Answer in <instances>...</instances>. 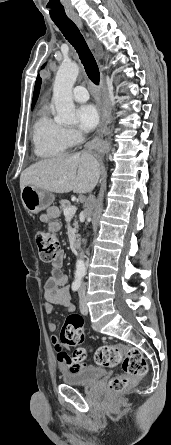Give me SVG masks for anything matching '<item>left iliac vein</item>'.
<instances>
[{
  "label": "left iliac vein",
  "instance_id": "4c4485c4",
  "mask_svg": "<svg viewBox=\"0 0 171 445\" xmlns=\"http://www.w3.org/2000/svg\"><path fill=\"white\" fill-rule=\"evenodd\" d=\"M79 299H80V312L83 315H87L88 314V306H87L86 297L83 292H79Z\"/></svg>",
  "mask_w": 171,
  "mask_h": 445
}]
</instances>
